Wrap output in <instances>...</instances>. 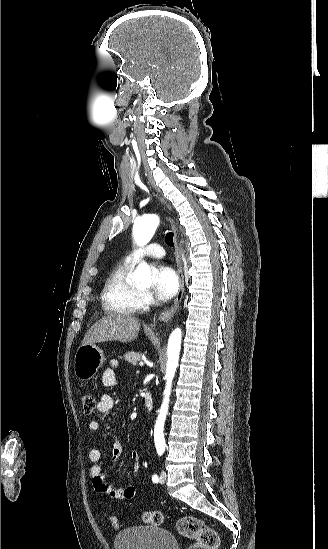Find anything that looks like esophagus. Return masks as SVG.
I'll return each instance as SVG.
<instances>
[{
    "instance_id": "1",
    "label": "esophagus",
    "mask_w": 328,
    "mask_h": 549,
    "mask_svg": "<svg viewBox=\"0 0 328 549\" xmlns=\"http://www.w3.org/2000/svg\"><path fill=\"white\" fill-rule=\"evenodd\" d=\"M171 223H172V228L174 232V246H175V256H176V263H177L179 288H178V292H177L173 306L170 309L164 310L159 314V320L163 322H166L167 320L172 319V317L174 316L177 308L179 307L182 301V297L184 293V277H183L181 257L179 254V247L177 242V226L173 220L171 221Z\"/></svg>"
}]
</instances>
